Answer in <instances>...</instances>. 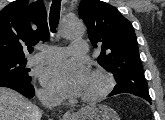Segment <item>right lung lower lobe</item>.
I'll list each match as a JSON object with an SVG mask.
<instances>
[{
    "label": "right lung lower lobe",
    "instance_id": "right-lung-lower-lobe-1",
    "mask_svg": "<svg viewBox=\"0 0 165 120\" xmlns=\"http://www.w3.org/2000/svg\"><path fill=\"white\" fill-rule=\"evenodd\" d=\"M0 86L14 89L27 98H32L35 94L32 84L23 80L0 78Z\"/></svg>",
    "mask_w": 165,
    "mask_h": 120
}]
</instances>
